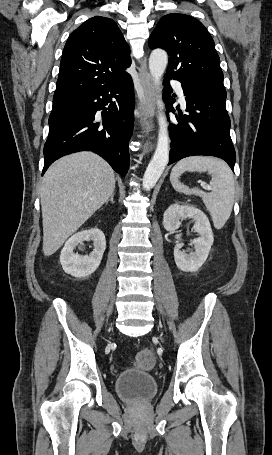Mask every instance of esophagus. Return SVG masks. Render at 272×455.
I'll list each match as a JSON object with an SVG mask.
<instances>
[{
    "label": "esophagus",
    "mask_w": 272,
    "mask_h": 455,
    "mask_svg": "<svg viewBox=\"0 0 272 455\" xmlns=\"http://www.w3.org/2000/svg\"><path fill=\"white\" fill-rule=\"evenodd\" d=\"M139 79L142 85L144 97L143 99H139L137 113L141 120H146L149 118L151 121L155 116V92L151 75L147 69L145 58L141 62V67L139 69ZM146 148L151 149V146L146 143Z\"/></svg>",
    "instance_id": "obj_1"
}]
</instances>
